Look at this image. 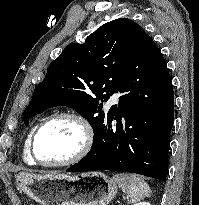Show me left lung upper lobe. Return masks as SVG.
<instances>
[{
    "mask_svg": "<svg viewBox=\"0 0 199 205\" xmlns=\"http://www.w3.org/2000/svg\"><path fill=\"white\" fill-rule=\"evenodd\" d=\"M144 34L137 23L120 18L99 27L85 43L67 46L36 86L24 123L48 108L68 106L87 119L97 137L112 117L110 110L102 111L103 102L119 92Z\"/></svg>",
    "mask_w": 199,
    "mask_h": 205,
    "instance_id": "left-lung-upper-lobe-1",
    "label": "left lung upper lobe"
}]
</instances>
